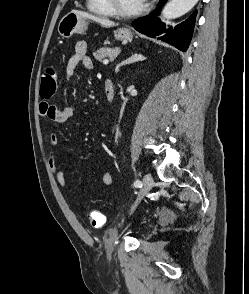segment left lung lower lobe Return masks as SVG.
<instances>
[{
    "label": "left lung lower lobe",
    "instance_id": "0a47b994",
    "mask_svg": "<svg viewBox=\"0 0 249 294\" xmlns=\"http://www.w3.org/2000/svg\"><path fill=\"white\" fill-rule=\"evenodd\" d=\"M166 1L160 0L158 7L152 13L134 21L133 26L137 31L150 37L161 35L159 39L175 46L181 51H186L192 38L197 11L184 22L166 29L165 24L161 23L160 19L157 18Z\"/></svg>",
    "mask_w": 249,
    "mask_h": 294
}]
</instances>
